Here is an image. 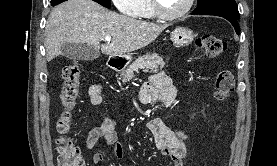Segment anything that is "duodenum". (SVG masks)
I'll return each mask as SVG.
<instances>
[{
    "mask_svg": "<svg viewBox=\"0 0 277 166\" xmlns=\"http://www.w3.org/2000/svg\"><path fill=\"white\" fill-rule=\"evenodd\" d=\"M108 67L111 69V70H118L121 68V63L117 60V59H114V58H110L108 60Z\"/></svg>",
    "mask_w": 277,
    "mask_h": 166,
    "instance_id": "obj_1",
    "label": "duodenum"
}]
</instances>
